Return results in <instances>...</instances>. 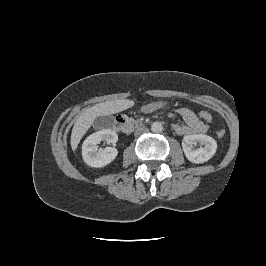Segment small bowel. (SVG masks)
<instances>
[{"label": "small bowel", "mask_w": 266, "mask_h": 266, "mask_svg": "<svg viewBox=\"0 0 266 266\" xmlns=\"http://www.w3.org/2000/svg\"><path fill=\"white\" fill-rule=\"evenodd\" d=\"M176 111L185 122V124H175L173 126L177 134H199L208 130V126L190 108L180 107Z\"/></svg>", "instance_id": "obj_1"}]
</instances>
